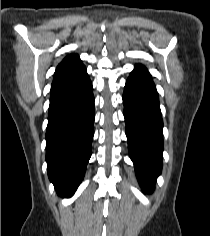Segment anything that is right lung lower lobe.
<instances>
[{"label":"right lung lower lobe","mask_w":210,"mask_h":236,"mask_svg":"<svg viewBox=\"0 0 210 236\" xmlns=\"http://www.w3.org/2000/svg\"><path fill=\"white\" fill-rule=\"evenodd\" d=\"M95 118L92 83L85 66L56 73L51 85L46 161L58 194L71 196L91 156Z\"/></svg>","instance_id":"98d812e1"}]
</instances>
